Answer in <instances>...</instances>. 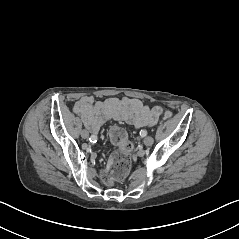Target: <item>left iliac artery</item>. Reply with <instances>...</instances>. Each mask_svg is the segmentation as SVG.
Masks as SVG:
<instances>
[{"mask_svg": "<svg viewBox=\"0 0 239 239\" xmlns=\"http://www.w3.org/2000/svg\"><path fill=\"white\" fill-rule=\"evenodd\" d=\"M140 135H141V137H145L147 135V131L146 130H141Z\"/></svg>", "mask_w": 239, "mask_h": 239, "instance_id": "44dca946", "label": "left iliac artery"}]
</instances>
